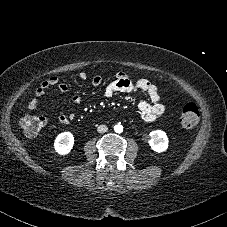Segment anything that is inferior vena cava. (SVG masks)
<instances>
[{"label": "inferior vena cava", "mask_w": 227, "mask_h": 227, "mask_svg": "<svg viewBox=\"0 0 227 227\" xmlns=\"http://www.w3.org/2000/svg\"><path fill=\"white\" fill-rule=\"evenodd\" d=\"M97 131L99 133H105L108 131V127L106 125H99L98 128H97Z\"/></svg>", "instance_id": "602c4592"}]
</instances>
